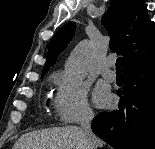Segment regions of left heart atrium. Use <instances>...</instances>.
Returning a JSON list of instances; mask_svg holds the SVG:
<instances>
[{
	"instance_id": "left-heart-atrium-1",
	"label": "left heart atrium",
	"mask_w": 155,
	"mask_h": 149,
	"mask_svg": "<svg viewBox=\"0 0 155 149\" xmlns=\"http://www.w3.org/2000/svg\"><path fill=\"white\" fill-rule=\"evenodd\" d=\"M110 94L108 93V91L102 87V86H97L94 92V102L98 105V106H105L109 103L110 101Z\"/></svg>"
}]
</instances>
